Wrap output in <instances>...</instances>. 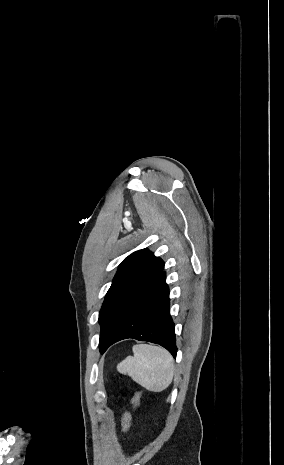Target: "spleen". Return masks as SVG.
<instances>
[{"label":"spleen","instance_id":"spleen-1","mask_svg":"<svg viewBox=\"0 0 284 465\" xmlns=\"http://www.w3.org/2000/svg\"><path fill=\"white\" fill-rule=\"evenodd\" d=\"M132 351L134 357H126L118 363V373L128 375L152 393L167 389L174 377V361L170 353L152 345H134Z\"/></svg>","mask_w":284,"mask_h":465}]
</instances>
